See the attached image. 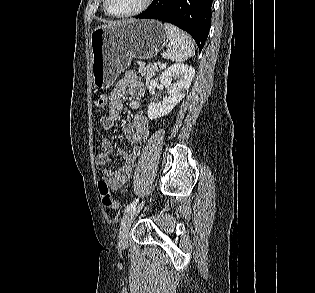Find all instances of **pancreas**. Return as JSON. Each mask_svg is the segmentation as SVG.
I'll list each match as a JSON object with an SVG mask.
<instances>
[{
  "label": "pancreas",
  "instance_id": "cf45deb5",
  "mask_svg": "<svg viewBox=\"0 0 315 293\" xmlns=\"http://www.w3.org/2000/svg\"><path fill=\"white\" fill-rule=\"evenodd\" d=\"M138 73L145 78L152 77L156 72L159 71V68L154 66L153 64H149L145 66L143 63L139 62Z\"/></svg>",
  "mask_w": 315,
  "mask_h": 293
}]
</instances>
